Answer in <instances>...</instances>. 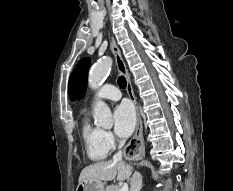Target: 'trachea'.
Wrapping results in <instances>:
<instances>
[{"label":"trachea","instance_id":"1","mask_svg":"<svg viewBox=\"0 0 233 191\" xmlns=\"http://www.w3.org/2000/svg\"><path fill=\"white\" fill-rule=\"evenodd\" d=\"M118 85H119V87L122 88V89L126 88L127 82H126V79H125L124 76H120V77L118 78Z\"/></svg>","mask_w":233,"mask_h":191}]
</instances>
